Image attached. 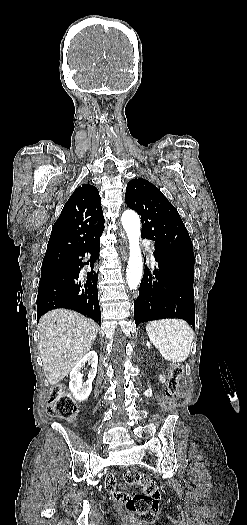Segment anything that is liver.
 <instances>
[{
  "mask_svg": "<svg viewBox=\"0 0 247 525\" xmlns=\"http://www.w3.org/2000/svg\"><path fill=\"white\" fill-rule=\"evenodd\" d=\"M98 329L95 321L68 309H53L39 319V353L50 385L63 381L89 353Z\"/></svg>",
  "mask_w": 247,
  "mask_h": 525,
  "instance_id": "obj_1",
  "label": "liver"
}]
</instances>
